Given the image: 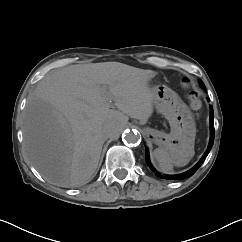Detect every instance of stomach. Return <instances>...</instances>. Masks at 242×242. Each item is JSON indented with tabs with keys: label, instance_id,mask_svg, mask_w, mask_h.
I'll use <instances>...</instances> for the list:
<instances>
[{
	"label": "stomach",
	"instance_id": "stomach-1",
	"mask_svg": "<svg viewBox=\"0 0 242 242\" xmlns=\"http://www.w3.org/2000/svg\"><path fill=\"white\" fill-rule=\"evenodd\" d=\"M153 92V105L157 112L168 120L171 132L144 128L145 135L160 148L175 151L181 154L182 160H189L194 152L195 121L188 106L181 100L176 92L164 84L151 88Z\"/></svg>",
	"mask_w": 242,
	"mask_h": 242
}]
</instances>
